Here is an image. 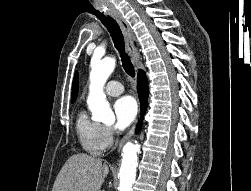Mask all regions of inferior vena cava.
I'll list each match as a JSON object with an SVG mask.
<instances>
[{"label": "inferior vena cava", "mask_w": 251, "mask_h": 191, "mask_svg": "<svg viewBox=\"0 0 251 191\" xmlns=\"http://www.w3.org/2000/svg\"><path fill=\"white\" fill-rule=\"evenodd\" d=\"M115 133H120V131H115ZM118 141H119V139H116L115 145H117Z\"/></svg>", "instance_id": "1"}]
</instances>
